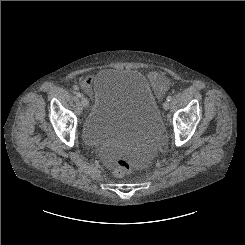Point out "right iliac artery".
Masks as SVG:
<instances>
[{"instance_id":"82829eb1","label":"right iliac artery","mask_w":245,"mask_h":245,"mask_svg":"<svg viewBox=\"0 0 245 245\" xmlns=\"http://www.w3.org/2000/svg\"><path fill=\"white\" fill-rule=\"evenodd\" d=\"M77 97L81 98L82 97V94L80 92H77L76 93Z\"/></svg>"}]
</instances>
